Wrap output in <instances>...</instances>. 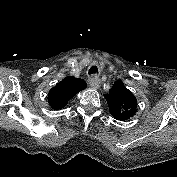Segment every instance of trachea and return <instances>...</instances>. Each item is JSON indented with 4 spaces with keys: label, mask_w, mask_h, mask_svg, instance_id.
Wrapping results in <instances>:
<instances>
[{
    "label": "trachea",
    "mask_w": 177,
    "mask_h": 177,
    "mask_svg": "<svg viewBox=\"0 0 177 177\" xmlns=\"http://www.w3.org/2000/svg\"><path fill=\"white\" fill-rule=\"evenodd\" d=\"M96 72H97V67H96V66H92V67L89 69L88 74H89V75H92V74H95Z\"/></svg>",
    "instance_id": "1"
}]
</instances>
